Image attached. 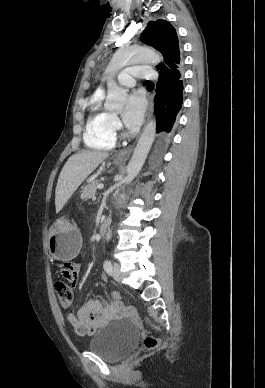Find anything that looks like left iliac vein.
<instances>
[{
    "instance_id": "1",
    "label": "left iliac vein",
    "mask_w": 265,
    "mask_h": 388,
    "mask_svg": "<svg viewBox=\"0 0 265 388\" xmlns=\"http://www.w3.org/2000/svg\"><path fill=\"white\" fill-rule=\"evenodd\" d=\"M112 276L116 281L120 280V266L118 263L113 265Z\"/></svg>"
}]
</instances>
